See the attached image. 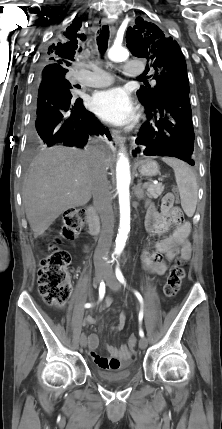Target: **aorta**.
Wrapping results in <instances>:
<instances>
[{
    "mask_svg": "<svg viewBox=\"0 0 222 429\" xmlns=\"http://www.w3.org/2000/svg\"><path fill=\"white\" fill-rule=\"evenodd\" d=\"M110 60L115 62L125 61L129 57V52L121 46H113L108 52ZM117 193L120 206V227L116 238V252L124 249L128 233L130 231V165L126 154L122 151L116 166Z\"/></svg>",
    "mask_w": 222,
    "mask_h": 429,
    "instance_id": "762f6f07",
    "label": "aorta"
}]
</instances>
